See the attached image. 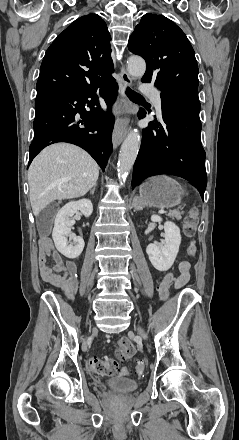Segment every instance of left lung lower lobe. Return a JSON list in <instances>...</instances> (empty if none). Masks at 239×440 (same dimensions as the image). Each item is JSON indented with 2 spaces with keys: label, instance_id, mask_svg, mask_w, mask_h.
<instances>
[{
  "label": "left lung lower lobe",
  "instance_id": "obj_1",
  "mask_svg": "<svg viewBox=\"0 0 239 440\" xmlns=\"http://www.w3.org/2000/svg\"><path fill=\"white\" fill-rule=\"evenodd\" d=\"M162 123L150 122L133 168L132 187L140 180L160 174L187 179L204 199L207 185L205 151L201 144L198 91L177 88L161 91ZM139 118L146 116L140 109Z\"/></svg>",
  "mask_w": 239,
  "mask_h": 440
}]
</instances>
